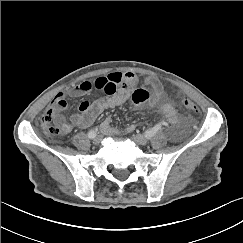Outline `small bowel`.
Listing matches in <instances>:
<instances>
[{
  "mask_svg": "<svg viewBox=\"0 0 243 243\" xmlns=\"http://www.w3.org/2000/svg\"><path fill=\"white\" fill-rule=\"evenodd\" d=\"M128 83L123 85V83ZM137 78L133 73H111L107 76H99L93 80H84L77 85L60 92L48 107L47 111L52 110L56 114V123L63 127V133L69 132L74 126L85 129L93 124L97 117L104 111L121 106L129 98L134 104H142L149 98V93L141 88H132L136 85ZM147 83L153 88V100L157 102L162 96V87L157 80L148 79ZM92 90L99 91L102 96L94 101L84 100L77 109V113L71 116L70 123H66L64 117L59 114L66 107V97L78 98L89 94ZM160 110L171 123H177L179 117L175 109L164 104ZM101 129L111 132L113 129L108 120L101 124ZM134 125L126 127V131H134Z\"/></svg>",
  "mask_w": 243,
  "mask_h": 243,
  "instance_id": "c3829d8e",
  "label": "small bowel"
}]
</instances>
